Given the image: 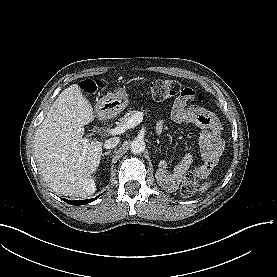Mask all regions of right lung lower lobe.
Returning a JSON list of instances; mask_svg holds the SVG:
<instances>
[{
    "label": "right lung lower lobe",
    "instance_id": "1",
    "mask_svg": "<svg viewBox=\"0 0 277 277\" xmlns=\"http://www.w3.org/2000/svg\"><path fill=\"white\" fill-rule=\"evenodd\" d=\"M101 196V194L99 195ZM99 196H96L95 198L92 199H88V200H75V201H70V200H64L66 203L71 204V205H84L87 204L89 202L94 201L95 199H97Z\"/></svg>",
    "mask_w": 277,
    "mask_h": 277
}]
</instances>
